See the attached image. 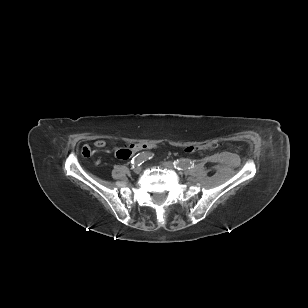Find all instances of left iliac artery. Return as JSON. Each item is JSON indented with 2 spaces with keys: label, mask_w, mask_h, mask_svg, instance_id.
Returning a JSON list of instances; mask_svg holds the SVG:
<instances>
[{
  "label": "left iliac artery",
  "mask_w": 308,
  "mask_h": 308,
  "mask_svg": "<svg viewBox=\"0 0 308 308\" xmlns=\"http://www.w3.org/2000/svg\"><path fill=\"white\" fill-rule=\"evenodd\" d=\"M174 167L178 170H186L194 167V162L189 159H180L174 161Z\"/></svg>",
  "instance_id": "1"
}]
</instances>
